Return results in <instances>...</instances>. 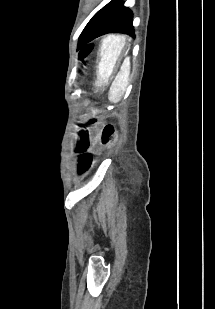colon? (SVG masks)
<instances>
[{"label":"colon","instance_id":"5ec220e1","mask_svg":"<svg viewBox=\"0 0 215 309\" xmlns=\"http://www.w3.org/2000/svg\"><path fill=\"white\" fill-rule=\"evenodd\" d=\"M117 140L115 126L111 123L107 124L102 132V142L106 145L115 143Z\"/></svg>","mask_w":215,"mask_h":309}]
</instances>
